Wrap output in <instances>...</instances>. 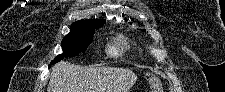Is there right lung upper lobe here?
<instances>
[{
	"label": "right lung upper lobe",
	"mask_w": 225,
	"mask_h": 92,
	"mask_svg": "<svg viewBox=\"0 0 225 92\" xmlns=\"http://www.w3.org/2000/svg\"><path fill=\"white\" fill-rule=\"evenodd\" d=\"M100 21H102V20L92 19V20H81V21H77V22H74L71 25V30H76V29L81 28L83 26H87V25H90V24H94V23H97V22H100Z\"/></svg>",
	"instance_id": "right-lung-upper-lobe-1"
}]
</instances>
